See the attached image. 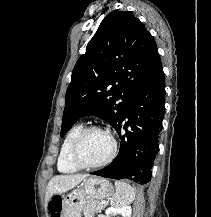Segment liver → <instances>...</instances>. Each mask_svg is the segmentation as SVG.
<instances>
[{
	"mask_svg": "<svg viewBox=\"0 0 211 217\" xmlns=\"http://www.w3.org/2000/svg\"><path fill=\"white\" fill-rule=\"evenodd\" d=\"M88 175L74 174V175H57L54 176L47 185L45 195V207L48 208V204L55 195H61L75 186H77Z\"/></svg>",
	"mask_w": 211,
	"mask_h": 217,
	"instance_id": "obj_1",
	"label": "liver"
}]
</instances>
